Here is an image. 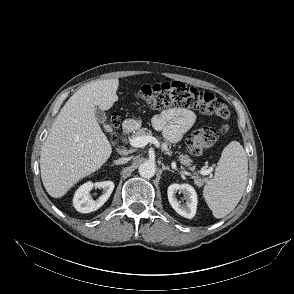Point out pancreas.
I'll return each instance as SVG.
<instances>
[{
    "mask_svg": "<svg viewBox=\"0 0 294 294\" xmlns=\"http://www.w3.org/2000/svg\"><path fill=\"white\" fill-rule=\"evenodd\" d=\"M151 135H152V131L151 130H149L147 128H141V129H138L136 132H134L133 137L151 136ZM170 148H171V144L170 143H168V142H162V149L168 155H171ZM178 158H179L178 160L182 164H184L186 166H189V170H191V171H194L195 170V166H192V164H191L192 163V160L189 158L188 155H186V154H180L179 153ZM192 178L194 179V182H195V184L197 186L201 187L204 184V180L201 179L196 172L193 173Z\"/></svg>",
    "mask_w": 294,
    "mask_h": 294,
    "instance_id": "pancreas-1",
    "label": "pancreas"
}]
</instances>
